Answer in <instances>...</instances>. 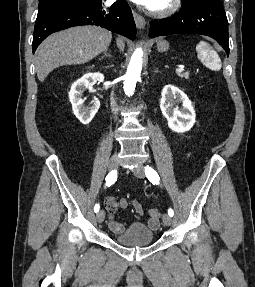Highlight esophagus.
I'll use <instances>...</instances> for the list:
<instances>
[{"instance_id":"1","label":"esophagus","mask_w":255,"mask_h":287,"mask_svg":"<svg viewBox=\"0 0 255 287\" xmlns=\"http://www.w3.org/2000/svg\"><path fill=\"white\" fill-rule=\"evenodd\" d=\"M133 16L136 23V27L139 29L144 28L146 25L145 19L141 15H139V13H137L135 10H133Z\"/></svg>"}]
</instances>
